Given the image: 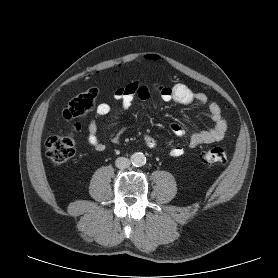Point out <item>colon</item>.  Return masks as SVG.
<instances>
[{
    "instance_id": "5ec220e1",
    "label": "colon",
    "mask_w": 278,
    "mask_h": 278,
    "mask_svg": "<svg viewBox=\"0 0 278 278\" xmlns=\"http://www.w3.org/2000/svg\"><path fill=\"white\" fill-rule=\"evenodd\" d=\"M97 90L91 88L74 97L63 110L66 120H76L85 117L95 107ZM48 158L57 165L66 163L75 153V139L71 133L57 134L49 137L45 142ZM203 159L207 164H223L226 161V152L221 147L207 150Z\"/></svg>"
}]
</instances>
